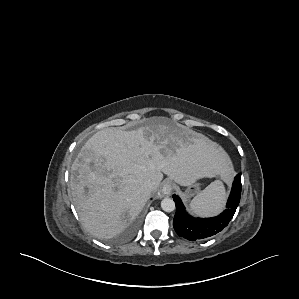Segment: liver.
I'll use <instances>...</instances> for the list:
<instances>
[{"instance_id": "liver-1", "label": "liver", "mask_w": 299, "mask_h": 299, "mask_svg": "<svg viewBox=\"0 0 299 299\" xmlns=\"http://www.w3.org/2000/svg\"><path fill=\"white\" fill-rule=\"evenodd\" d=\"M163 173L190 186L203 177L228 176L230 159L215 142L163 117L132 131L96 132L71 166L69 185L82 225L100 238L118 235L157 190Z\"/></svg>"}]
</instances>
